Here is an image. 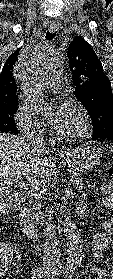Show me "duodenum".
Returning a JSON list of instances; mask_svg holds the SVG:
<instances>
[{
	"mask_svg": "<svg viewBox=\"0 0 113 279\" xmlns=\"http://www.w3.org/2000/svg\"><path fill=\"white\" fill-rule=\"evenodd\" d=\"M86 211V206L84 204H79L77 206V213L84 214ZM20 226L23 234L29 238L34 239L37 237V227L33 224L31 219V212L27 206H22L20 208Z\"/></svg>",
	"mask_w": 113,
	"mask_h": 279,
	"instance_id": "duodenum-1",
	"label": "duodenum"
}]
</instances>
